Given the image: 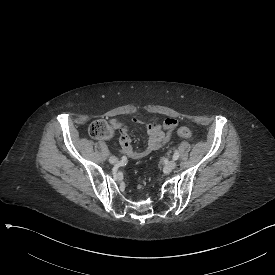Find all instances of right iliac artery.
Here are the masks:
<instances>
[{"label": "right iliac artery", "instance_id": "82829eb1", "mask_svg": "<svg viewBox=\"0 0 275 275\" xmlns=\"http://www.w3.org/2000/svg\"><path fill=\"white\" fill-rule=\"evenodd\" d=\"M127 158L125 156L122 157V161H126Z\"/></svg>", "mask_w": 275, "mask_h": 275}]
</instances>
